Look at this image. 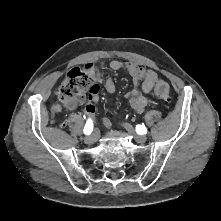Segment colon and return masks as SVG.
Here are the masks:
<instances>
[{"label": "colon", "instance_id": "1", "mask_svg": "<svg viewBox=\"0 0 221 221\" xmlns=\"http://www.w3.org/2000/svg\"><path fill=\"white\" fill-rule=\"evenodd\" d=\"M92 84V78L87 71L73 68L67 73L60 85L59 98L62 101L81 102L85 98L88 87ZM154 92L159 98L168 99L170 93L169 84L162 80L157 82Z\"/></svg>", "mask_w": 221, "mask_h": 221}]
</instances>
